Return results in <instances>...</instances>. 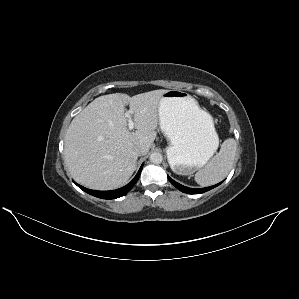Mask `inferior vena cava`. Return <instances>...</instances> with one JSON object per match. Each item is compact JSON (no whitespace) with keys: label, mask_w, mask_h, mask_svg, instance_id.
I'll return each mask as SVG.
<instances>
[{"label":"inferior vena cava","mask_w":299,"mask_h":299,"mask_svg":"<svg viewBox=\"0 0 299 299\" xmlns=\"http://www.w3.org/2000/svg\"><path fill=\"white\" fill-rule=\"evenodd\" d=\"M147 152H148V150H147V148H146L144 145H137V146L134 148V153H135L137 156H143V155H145Z\"/></svg>","instance_id":"inferior-vena-cava-1"}]
</instances>
